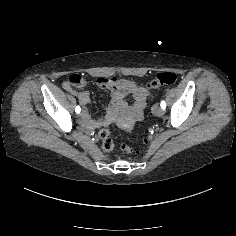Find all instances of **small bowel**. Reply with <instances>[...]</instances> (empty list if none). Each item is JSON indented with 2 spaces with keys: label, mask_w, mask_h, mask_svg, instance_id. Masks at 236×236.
Masks as SVG:
<instances>
[{
  "label": "small bowel",
  "mask_w": 236,
  "mask_h": 236,
  "mask_svg": "<svg viewBox=\"0 0 236 236\" xmlns=\"http://www.w3.org/2000/svg\"><path fill=\"white\" fill-rule=\"evenodd\" d=\"M98 84L101 85V86H103L104 84H106V82L103 83V82L101 81V79H99V80H98ZM64 88H65L67 91H69V92H74L73 89H72V85H71L69 82L64 83ZM79 98H80V100H81V102H82L83 104H86V103L88 102V94H87V93H81V94H79ZM144 106H145V102H144V100H143V103L141 104L140 110H141ZM140 110L138 111V113H140ZM95 127H96V126H95ZM93 128H94V127H93Z\"/></svg>",
  "instance_id": "small-bowel-1"
}]
</instances>
